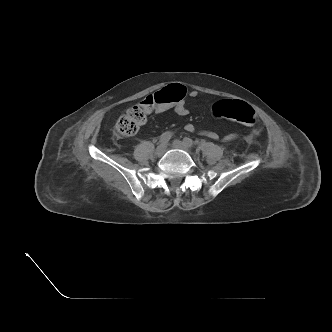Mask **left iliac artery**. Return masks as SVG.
I'll return each mask as SVG.
<instances>
[{
	"instance_id": "44dca946",
	"label": "left iliac artery",
	"mask_w": 332,
	"mask_h": 332,
	"mask_svg": "<svg viewBox=\"0 0 332 332\" xmlns=\"http://www.w3.org/2000/svg\"><path fill=\"white\" fill-rule=\"evenodd\" d=\"M183 141H184V143L185 144H187L188 146H193V141H192V139H190V138H188V137H185L184 139H183Z\"/></svg>"
}]
</instances>
